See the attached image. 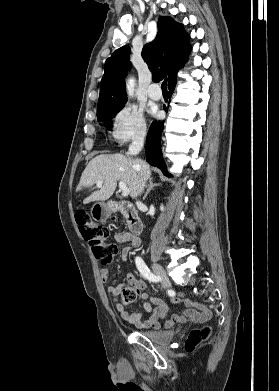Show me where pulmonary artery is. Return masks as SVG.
Masks as SVG:
<instances>
[{"label": "pulmonary artery", "instance_id": "pulmonary-artery-1", "mask_svg": "<svg viewBox=\"0 0 279 391\" xmlns=\"http://www.w3.org/2000/svg\"><path fill=\"white\" fill-rule=\"evenodd\" d=\"M147 94L152 100H159L162 97V93L158 89L157 84H151L147 90Z\"/></svg>", "mask_w": 279, "mask_h": 391}]
</instances>
